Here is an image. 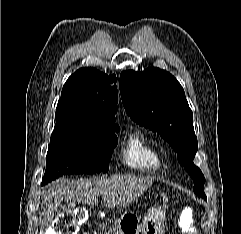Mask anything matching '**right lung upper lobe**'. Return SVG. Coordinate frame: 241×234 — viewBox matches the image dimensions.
I'll return each mask as SVG.
<instances>
[{
	"label": "right lung upper lobe",
	"instance_id": "obj_1",
	"mask_svg": "<svg viewBox=\"0 0 241 234\" xmlns=\"http://www.w3.org/2000/svg\"><path fill=\"white\" fill-rule=\"evenodd\" d=\"M107 76L94 68H81L63 86L56 114H67L82 126L118 127L115 124L118 92Z\"/></svg>",
	"mask_w": 241,
	"mask_h": 234
}]
</instances>
